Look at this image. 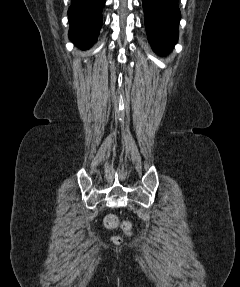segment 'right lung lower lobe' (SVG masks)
I'll return each mask as SVG.
<instances>
[{"label": "right lung lower lobe", "mask_w": 240, "mask_h": 287, "mask_svg": "<svg viewBox=\"0 0 240 287\" xmlns=\"http://www.w3.org/2000/svg\"><path fill=\"white\" fill-rule=\"evenodd\" d=\"M105 0H72L68 9L69 38L80 48L95 43L102 24Z\"/></svg>", "instance_id": "98d812e1"}]
</instances>
